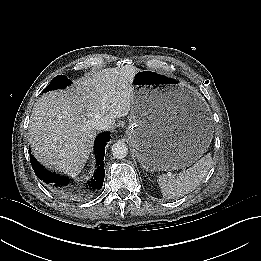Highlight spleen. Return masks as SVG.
<instances>
[{
	"instance_id": "1",
	"label": "spleen",
	"mask_w": 261,
	"mask_h": 261,
	"mask_svg": "<svg viewBox=\"0 0 261 261\" xmlns=\"http://www.w3.org/2000/svg\"><path fill=\"white\" fill-rule=\"evenodd\" d=\"M211 167L212 157L210 154H207L192 167L180 172L176 177L172 174L160 175L157 182L163 197L175 199L190 193L205 178Z\"/></svg>"
}]
</instances>
